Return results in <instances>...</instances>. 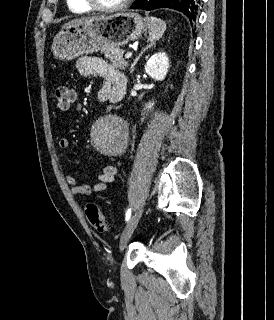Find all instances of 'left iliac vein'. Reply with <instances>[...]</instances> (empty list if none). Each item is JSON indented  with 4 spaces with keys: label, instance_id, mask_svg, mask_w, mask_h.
I'll return each instance as SVG.
<instances>
[{
    "label": "left iliac vein",
    "instance_id": "4c4485c4",
    "mask_svg": "<svg viewBox=\"0 0 274 320\" xmlns=\"http://www.w3.org/2000/svg\"><path fill=\"white\" fill-rule=\"evenodd\" d=\"M143 213V207H139L135 213L132 215V217L129 219L126 227L123 230V233L121 235L120 239V250H123L129 241L131 235L133 234L141 216Z\"/></svg>",
    "mask_w": 274,
    "mask_h": 320
}]
</instances>
